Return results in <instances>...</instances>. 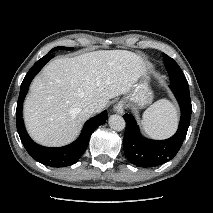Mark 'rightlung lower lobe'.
Returning <instances> with one entry per match:
<instances>
[{
    "label": "right lung lower lobe",
    "instance_id": "obj_1",
    "mask_svg": "<svg viewBox=\"0 0 213 213\" xmlns=\"http://www.w3.org/2000/svg\"><path fill=\"white\" fill-rule=\"evenodd\" d=\"M54 55L51 53L45 55L40 60H38L33 67L29 70L27 75L25 76L21 88L20 94L17 102L16 109V123H17V131L20 136V139L32 158L36 161L51 167H65L78 162L79 158L87 149L91 134L93 131L99 126L103 125L107 118V111H103L99 115L89 119L83 130L76 141L73 143L59 148H48L40 146L34 143L29 136L27 135L23 119H22V105L24 98L27 94L29 85L35 75L42 69V67L51 59Z\"/></svg>",
    "mask_w": 213,
    "mask_h": 213
}]
</instances>
